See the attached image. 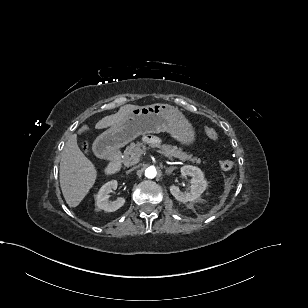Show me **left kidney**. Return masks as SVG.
I'll return each mask as SVG.
<instances>
[{
  "mask_svg": "<svg viewBox=\"0 0 308 308\" xmlns=\"http://www.w3.org/2000/svg\"><path fill=\"white\" fill-rule=\"evenodd\" d=\"M181 175H188L192 177L190 193L181 192L179 187L175 185L170 186V193L175 197L176 200L182 203L195 202L200 198L207 187V182L204 179L203 172L198 167L185 165L181 168Z\"/></svg>",
  "mask_w": 308,
  "mask_h": 308,
  "instance_id": "1",
  "label": "left kidney"
}]
</instances>
